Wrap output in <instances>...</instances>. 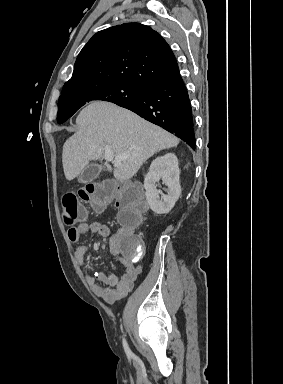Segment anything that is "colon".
Here are the masks:
<instances>
[{
    "label": "colon",
    "instance_id": "1",
    "mask_svg": "<svg viewBox=\"0 0 283 384\" xmlns=\"http://www.w3.org/2000/svg\"><path fill=\"white\" fill-rule=\"evenodd\" d=\"M78 196L89 203L94 211H102L111 203L118 209L120 229L114 236L122 256L131 261L140 260L145 252L142 239L135 234V228L141 223L145 203L142 191L136 184L110 181L89 183L79 190ZM75 193H66L62 197L63 221L74 226L84 220L87 211L80 205Z\"/></svg>",
    "mask_w": 283,
    "mask_h": 384
}]
</instances>
